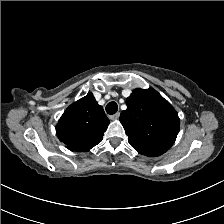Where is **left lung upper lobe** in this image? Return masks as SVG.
<instances>
[{"instance_id":"1","label":"left lung upper lobe","mask_w":224,"mask_h":224,"mask_svg":"<svg viewBox=\"0 0 224 224\" xmlns=\"http://www.w3.org/2000/svg\"><path fill=\"white\" fill-rule=\"evenodd\" d=\"M120 121L128 142L140 154L156 157L175 142L180 120L173 106L152 88L132 91Z\"/></svg>"}]
</instances>
